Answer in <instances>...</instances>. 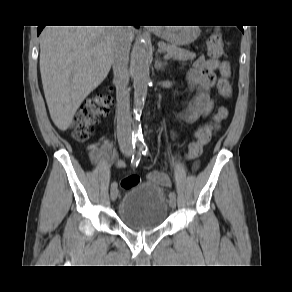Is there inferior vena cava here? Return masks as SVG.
Instances as JSON below:
<instances>
[{
    "label": "inferior vena cava",
    "instance_id": "602c4592",
    "mask_svg": "<svg viewBox=\"0 0 292 292\" xmlns=\"http://www.w3.org/2000/svg\"><path fill=\"white\" fill-rule=\"evenodd\" d=\"M131 26H117L116 46L113 57L114 84L117 99V138L120 149L132 152V118L130 115L128 62L131 47Z\"/></svg>",
    "mask_w": 292,
    "mask_h": 292
}]
</instances>
